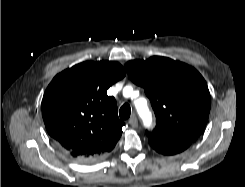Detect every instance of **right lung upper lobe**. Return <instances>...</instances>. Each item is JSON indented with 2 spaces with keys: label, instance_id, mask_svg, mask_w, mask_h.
<instances>
[{
  "label": "right lung upper lobe",
  "instance_id": "cb5924a9",
  "mask_svg": "<svg viewBox=\"0 0 245 187\" xmlns=\"http://www.w3.org/2000/svg\"><path fill=\"white\" fill-rule=\"evenodd\" d=\"M126 75L112 61L83 62L54 77L42 100L48 134L74 158L99 159L113 150L124 122L107 89Z\"/></svg>",
  "mask_w": 245,
  "mask_h": 187
}]
</instances>
